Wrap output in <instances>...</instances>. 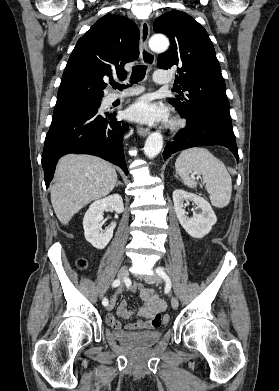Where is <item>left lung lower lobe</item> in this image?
Instances as JSON below:
<instances>
[{"label":"left lung lower lobe","instance_id":"obj_1","mask_svg":"<svg viewBox=\"0 0 279 391\" xmlns=\"http://www.w3.org/2000/svg\"><path fill=\"white\" fill-rule=\"evenodd\" d=\"M181 116L186 118V127L176 134L173 142L166 145L163 152L164 159L190 147L217 144L227 147L237 161L239 160L231 119L205 109L184 113Z\"/></svg>","mask_w":279,"mask_h":391}]
</instances>
